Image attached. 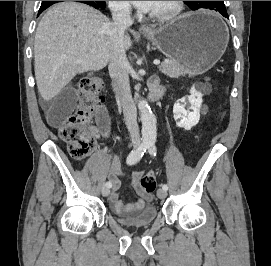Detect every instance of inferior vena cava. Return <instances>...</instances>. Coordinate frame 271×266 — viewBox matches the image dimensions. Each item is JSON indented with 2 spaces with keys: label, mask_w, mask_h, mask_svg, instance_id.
<instances>
[{
  "label": "inferior vena cava",
  "mask_w": 271,
  "mask_h": 266,
  "mask_svg": "<svg viewBox=\"0 0 271 266\" xmlns=\"http://www.w3.org/2000/svg\"><path fill=\"white\" fill-rule=\"evenodd\" d=\"M113 22L109 27V39L112 55L109 63V74L115 80L119 90V101L123 110L124 120L133 142H139L137 109L134 104L128 74L125 67L124 35L133 20L130 5L127 2L112 5Z\"/></svg>",
  "instance_id": "1"
}]
</instances>
